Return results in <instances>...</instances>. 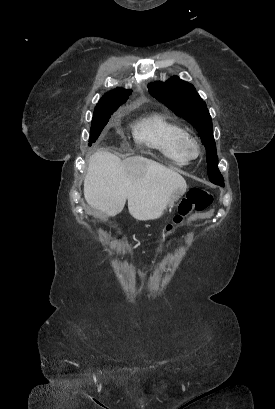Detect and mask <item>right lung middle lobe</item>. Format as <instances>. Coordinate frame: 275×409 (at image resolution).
Listing matches in <instances>:
<instances>
[{
	"label": "right lung middle lobe",
	"mask_w": 275,
	"mask_h": 409,
	"mask_svg": "<svg viewBox=\"0 0 275 409\" xmlns=\"http://www.w3.org/2000/svg\"><path fill=\"white\" fill-rule=\"evenodd\" d=\"M115 110L116 109L94 112L91 123L89 145H92V143L97 140Z\"/></svg>",
	"instance_id": "1"
}]
</instances>
